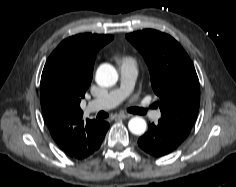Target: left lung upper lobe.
Masks as SVG:
<instances>
[{
  "instance_id": "1",
  "label": "left lung upper lobe",
  "mask_w": 236,
  "mask_h": 187,
  "mask_svg": "<svg viewBox=\"0 0 236 187\" xmlns=\"http://www.w3.org/2000/svg\"><path fill=\"white\" fill-rule=\"evenodd\" d=\"M144 57L154 93L159 96L160 121L189 134L200 104L199 80L193 63L170 35L146 29L126 35Z\"/></svg>"
}]
</instances>
